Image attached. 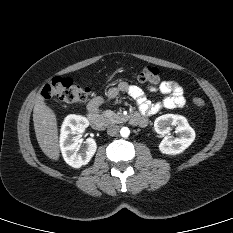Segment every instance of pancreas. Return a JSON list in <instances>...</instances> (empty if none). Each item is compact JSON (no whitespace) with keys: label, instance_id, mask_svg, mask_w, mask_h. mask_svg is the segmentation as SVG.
I'll use <instances>...</instances> for the list:
<instances>
[{"label":"pancreas","instance_id":"obj_1","mask_svg":"<svg viewBox=\"0 0 233 233\" xmlns=\"http://www.w3.org/2000/svg\"><path fill=\"white\" fill-rule=\"evenodd\" d=\"M102 115L106 118H108L110 121L112 122H116V123H119V122H122L124 121V118L122 115L120 114H116L114 113L113 111L111 110H105L102 112Z\"/></svg>","mask_w":233,"mask_h":233}]
</instances>
